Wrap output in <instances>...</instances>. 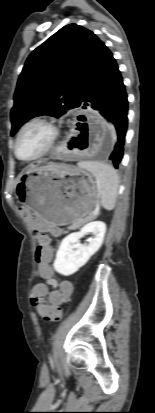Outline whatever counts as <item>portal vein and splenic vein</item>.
<instances>
[{"label":"portal vein and splenic vein","mask_w":155,"mask_h":413,"mask_svg":"<svg viewBox=\"0 0 155 413\" xmlns=\"http://www.w3.org/2000/svg\"><path fill=\"white\" fill-rule=\"evenodd\" d=\"M94 214H98V211L96 210V211L94 212Z\"/></svg>","instance_id":"portal-vein-and-splenic-vein-1"}]
</instances>
